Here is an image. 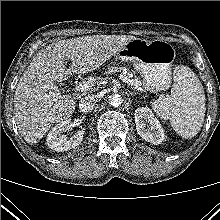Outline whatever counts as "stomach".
<instances>
[{
  "label": "stomach",
  "instance_id": "0dacf381",
  "mask_svg": "<svg viewBox=\"0 0 220 220\" xmlns=\"http://www.w3.org/2000/svg\"><path fill=\"white\" fill-rule=\"evenodd\" d=\"M175 50L164 40L148 41L135 38L119 51L117 58L130 61L143 78V85L150 92L166 90L171 84V66Z\"/></svg>",
  "mask_w": 220,
  "mask_h": 220
}]
</instances>
